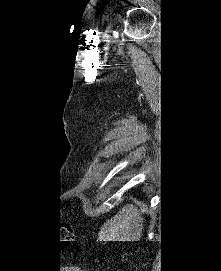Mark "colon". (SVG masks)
Listing matches in <instances>:
<instances>
[{"label":"colon","mask_w":221,"mask_h":271,"mask_svg":"<svg viewBox=\"0 0 221 271\" xmlns=\"http://www.w3.org/2000/svg\"><path fill=\"white\" fill-rule=\"evenodd\" d=\"M73 239V231L70 227H63L59 232V242L68 244Z\"/></svg>","instance_id":"obj_1"}]
</instances>
